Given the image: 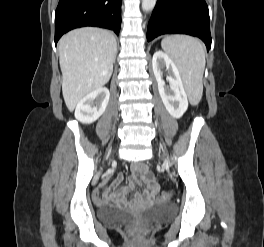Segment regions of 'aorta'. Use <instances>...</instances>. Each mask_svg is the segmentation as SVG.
<instances>
[{
    "label": "aorta",
    "mask_w": 264,
    "mask_h": 247,
    "mask_svg": "<svg viewBox=\"0 0 264 247\" xmlns=\"http://www.w3.org/2000/svg\"><path fill=\"white\" fill-rule=\"evenodd\" d=\"M157 0H142V10L150 12L155 7Z\"/></svg>",
    "instance_id": "obj_1"
}]
</instances>
